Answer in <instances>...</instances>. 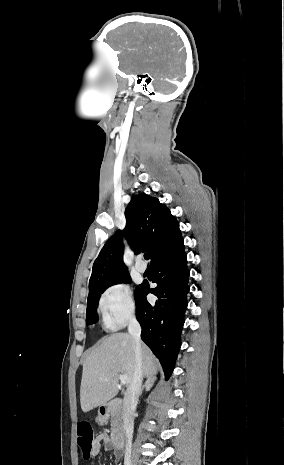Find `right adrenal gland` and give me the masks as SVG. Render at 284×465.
Masks as SVG:
<instances>
[{"label": "right adrenal gland", "instance_id": "2a0ac1e0", "mask_svg": "<svg viewBox=\"0 0 284 465\" xmlns=\"http://www.w3.org/2000/svg\"><path fill=\"white\" fill-rule=\"evenodd\" d=\"M155 381H157L156 377H154V375H150V377H148L147 381H145V385H143L142 389H141V393H140V397L145 389V391H151Z\"/></svg>", "mask_w": 284, "mask_h": 465}]
</instances>
